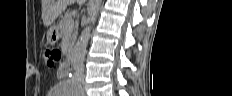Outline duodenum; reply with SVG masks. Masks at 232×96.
I'll list each match as a JSON object with an SVG mask.
<instances>
[{
  "mask_svg": "<svg viewBox=\"0 0 232 96\" xmlns=\"http://www.w3.org/2000/svg\"><path fill=\"white\" fill-rule=\"evenodd\" d=\"M74 66V49L71 48L69 50L68 56H67V60L65 62V64L62 67V72L61 74L65 77L68 76L69 72L72 70Z\"/></svg>",
  "mask_w": 232,
  "mask_h": 96,
  "instance_id": "duodenum-1",
  "label": "duodenum"
}]
</instances>
